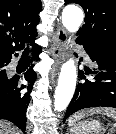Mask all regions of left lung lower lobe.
Returning a JSON list of instances; mask_svg holds the SVG:
<instances>
[{"label": "left lung lower lobe", "mask_w": 116, "mask_h": 134, "mask_svg": "<svg viewBox=\"0 0 116 134\" xmlns=\"http://www.w3.org/2000/svg\"><path fill=\"white\" fill-rule=\"evenodd\" d=\"M78 44L84 46L85 51L94 62L92 70L81 71L78 76L85 79V74H92L93 78L78 83L75 94L67 107L64 121L82 109L92 107L116 108V51L98 47L92 43Z\"/></svg>", "instance_id": "0a47b994"}]
</instances>
